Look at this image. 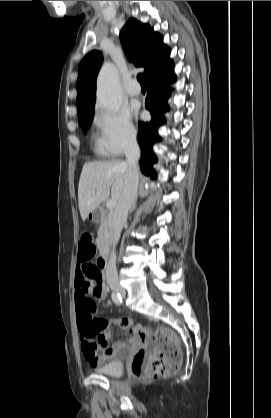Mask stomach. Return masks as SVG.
<instances>
[{
	"label": "stomach",
	"instance_id": "obj_1",
	"mask_svg": "<svg viewBox=\"0 0 271 418\" xmlns=\"http://www.w3.org/2000/svg\"><path fill=\"white\" fill-rule=\"evenodd\" d=\"M100 219V212L99 210H94L87 215V220L90 222H97Z\"/></svg>",
	"mask_w": 271,
	"mask_h": 418
}]
</instances>
